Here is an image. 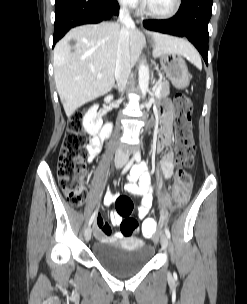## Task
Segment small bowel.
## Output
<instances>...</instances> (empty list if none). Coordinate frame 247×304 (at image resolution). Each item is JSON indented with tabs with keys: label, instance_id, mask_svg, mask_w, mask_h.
I'll return each instance as SVG.
<instances>
[{
	"label": "small bowel",
	"instance_id": "small-bowel-1",
	"mask_svg": "<svg viewBox=\"0 0 247 304\" xmlns=\"http://www.w3.org/2000/svg\"><path fill=\"white\" fill-rule=\"evenodd\" d=\"M160 114V130L154 142V151H162L168 148L173 140L172 135V121H173V107L170 101H163L159 106ZM111 132V124L107 123L103 126L100 134L91 138L87 150L88 160L92 162L100 153L103 142L107 139ZM175 158L172 151H167L163 154L160 160V172L164 179H169L174 170ZM125 191L133 196L141 199L138 215L140 218H145L149 213L153 203V185L146 163L135 165L130 175L128 176V183L125 185ZM114 199V195L109 193L104 199V205H109ZM96 223L94 234L97 238L106 239L114 238L120 239L123 237L121 232L111 233L109 223L104 221L100 216L95 217ZM110 222L113 225H119L122 222V217L116 212L110 214Z\"/></svg>",
	"mask_w": 247,
	"mask_h": 304
}]
</instances>
